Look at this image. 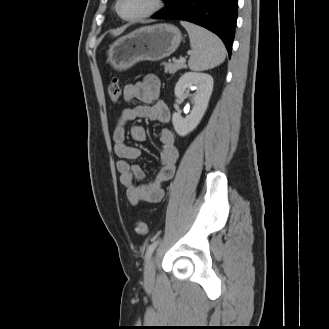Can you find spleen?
<instances>
[{"label": "spleen", "instance_id": "1", "mask_svg": "<svg viewBox=\"0 0 329 329\" xmlns=\"http://www.w3.org/2000/svg\"><path fill=\"white\" fill-rule=\"evenodd\" d=\"M180 24L189 34L192 53L188 66L191 70L212 69L225 60V46L215 34L193 23L181 21Z\"/></svg>", "mask_w": 329, "mask_h": 329}]
</instances>
